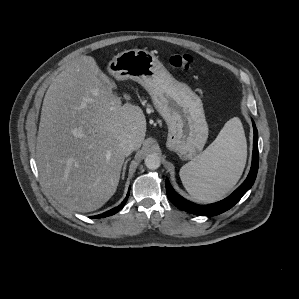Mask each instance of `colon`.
I'll return each mask as SVG.
<instances>
[{"mask_svg":"<svg viewBox=\"0 0 299 299\" xmlns=\"http://www.w3.org/2000/svg\"><path fill=\"white\" fill-rule=\"evenodd\" d=\"M194 61V57L190 54H174L169 59V62L173 67L182 69L191 68Z\"/></svg>","mask_w":299,"mask_h":299,"instance_id":"colon-1","label":"colon"}]
</instances>
